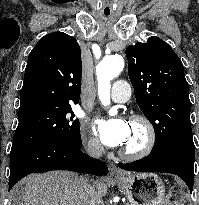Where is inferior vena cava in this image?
<instances>
[{"instance_id":"1","label":"inferior vena cava","mask_w":199,"mask_h":205,"mask_svg":"<svg viewBox=\"0 0 199 205\" xmlns=\"http://www.w3.org/2000/svg\"><path fill=\"white\" fill-rule=\"evenodd\" d=\"M103 147L99 142H93L88 146L87 152L94 158H99L102 155ZM85 190L90 198L89 205H103L101 196L95 190V187L85 180Z\"/></svg>"}]
</instances>
